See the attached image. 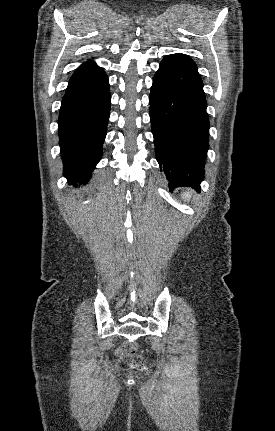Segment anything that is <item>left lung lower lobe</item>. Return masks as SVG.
Wrapping results in <instances>:
<instances>
[{
  "label": "left lung lower lobe",
  "mask_w": 275,
  "mask_h": 431,
  "mask_svg": "<svg viewBox=\"0 0 275 431\" xmlns=\"http://www.w3.org/2000/svg\"><path fill=\"white\" fill-rule=\"evenodd\" d=\"M150 120L156 159L170 189H200L209 147V118L203 82L185 54L163 58L153 78Z\"/></svg>",
  "instance_id": "0a47b994"
}]
</instances>
